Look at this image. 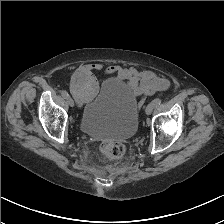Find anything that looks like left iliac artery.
Segmentation results:
<instances>
[{"label":"left iliac artery","instance_id":"1","mask_svg":"<svg viewBox=\"0 0 224 224\" xmlns=\"http://www.w3.org/2000/svg\"><path fill=\"white\" fill-rule=\"evenodd\" d=\"M152 103L154 104V106H155V107H157V106H159V105H160L161 100H160L159 98H157V99L153 100V102H152Z\"/></svg>","mask_w":224,"mask_h":224}]
</instances>
